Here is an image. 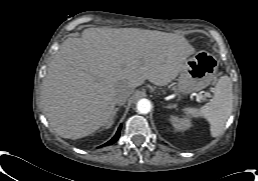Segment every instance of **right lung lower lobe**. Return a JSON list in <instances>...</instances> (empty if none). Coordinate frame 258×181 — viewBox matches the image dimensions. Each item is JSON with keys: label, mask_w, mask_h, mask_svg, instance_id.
I'll use <instances>...</instances> for the list:
<instances>
[{"label": "right lung lower lobe", "mask_w": 258, "mask_h": 181, "mask_svg": "<svg viewBox=\"0 0 258 181\" xmlns=\"http://www.w3.org/2000/svg\"><path fill=\"white\" fill-rule=\"evenodd\" d=\"M119 136H120V128L118 129L116 135H115L110 141H108V142L106 143V145H111V144H113V143L119 138Z\"/></svg>", "instance_id": "98d812e1"}]
</instances>
